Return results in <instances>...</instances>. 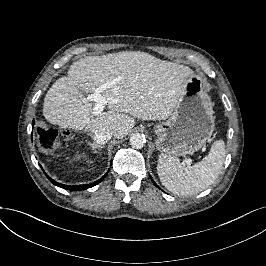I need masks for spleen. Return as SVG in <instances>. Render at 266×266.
Wrapping results in <instances>:
<instances>
[{"instance_id": "3e777b00", "label": "spleen", "mask_w": 266, "mask_h": 266, "mask_svg": "<svg viewBox=\"0 0 266 266\" xmlns=\"http://www.w3.org/2000/svg\"><path fill=\"white\" fill-rule=\"evenodd\" d=\"M226 156L223 140L214 141L202 161L186 168L177 159L160 154L157 160V173L163 186L179 196H189L202 192L218 177Z\"/></svg>"}]
</instances>
